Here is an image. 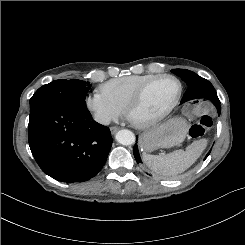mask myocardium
<instances>
[{"label": "myocardium", "mask_w": 245, "mask_h": 245, "mask_svg": "<svg viewBox=\"0 0 245 245\" xmlns=\"http://www.w3.org/2000/svg\"><path fill=\"white\" fill-rule=\"evenodd\" d=\"M164 79H172V80L176 81L178 83V87H179L177 95L174 98V100L172 101V103L169 105V107L166 110H164L162 113H160V114H158L152 118H149L147 120L137 121V120L133 119L132 114L138 108V106L141 104L147 90L156 82L164 80ZM182 92H183V84L178 77H176L174 75H170V74L159 75V76L147 81L146 83H144L137 90V92L134 94V96L131 98V100L127 104V107L125 109L126 116H127L128 120L133 125H135L139 128L152 127V126L158 124L159 122H161L162 120H164L166 117H168L171 114V112L178 105L180 98H181V95H182Z\"/></svg>", "instance_id": "1"}]
</instances>
